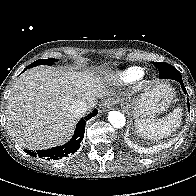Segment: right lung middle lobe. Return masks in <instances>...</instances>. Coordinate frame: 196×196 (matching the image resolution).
<instances>
[{
	"label": "right lung middle lobe",
	"instance_id": "1",
	"mask_svg": "<svg viewBox=\"0 0 196 196\" xmlns=\"http://www.w3.org/2000/svg\"><path fill=\"white\" fill-rule=\"evenodd\" d=\"M57 59L49 58V59H39L32 64L28 65L25 69H30L32 67L38 66V65H52L55 62H57Z\"/></svg>",
	"mask_w": 196,
	"mask_h": 196
}]
</instances>
